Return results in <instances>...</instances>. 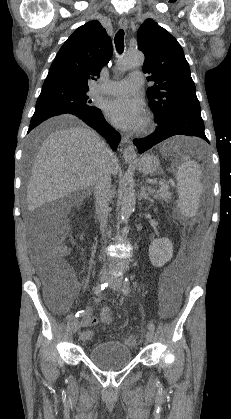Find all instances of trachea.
<instances>
[{"mask_svg": "<svg viewBox=\"0 0 231 419\" xmlns=\"http://www.w3.org/2000/svg\"><path fill=\"white\" fill-rule=\"evenodd\" d=\"M114 43L118 53H122L124 50V31L121 29L117 32L114 38Z\"/></svg>", "mask_w": 231, "mask_h": 419, "instance_id": "obj_1", "label": "trachea"}]
</instances>
